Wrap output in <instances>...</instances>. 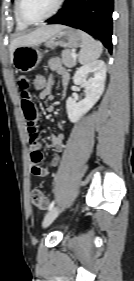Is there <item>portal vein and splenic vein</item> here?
Segmentation results:
<instances>
[{"mask_svg": "<svg viewBox=\"0 0 134 281\" xmlns=\"http://www.w3.org/2000/svg\"><path fill=\"white\" fill-rule=\"evenodd\" d=\"M72 57L74 58V59H76V57H77V55H76V53H72Z\"/></svg>", "mask_w": 134, "mask_h": 281, "instance_id": "18ae733b", "label": "portal vein and splenic vein"}]
</instances>
